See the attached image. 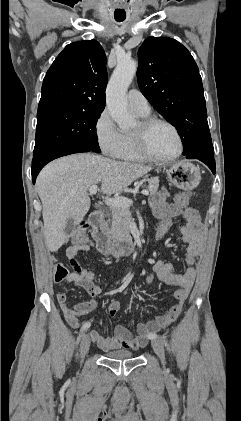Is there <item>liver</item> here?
<instances>
[{"label":"liver","instance_id":"liver-1","mask_svg":"<svg viewBox=\"0 0 241 421\" xmlns=\"http://www.w3.org/2000/svg\"><path fill=\"white\" fill-rule=\"evenodd\" d=\"M152 170L151 166L120 162L91 153L59 158L40 172L36 188L43 206L44 236L47 248L56 252L66 241L69 218L80 222L89 211L88 189L101 185L108 196L117 194Z\"/></svg>","mask_w":241,"mask_h":421}]
</instances>
